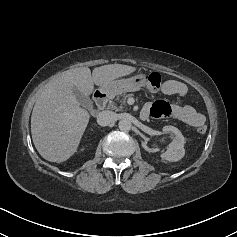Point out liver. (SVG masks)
<instances>
[{
    "label": "liver",
    "mask_w": 237,
    "mask_h": 237,
    "mask_svg": "<svg viewBox=\"0 0 237 237\" xmlns=\"http://www.w3.org/2000/svg\"><path fill=\"white\" fill-rule=\"evenodd\" d=\"M136 71L135 67L109 64L94 68L67 70L43 89L31 115V134L35 148L47 161L61 163L76 151L90 115L73 94L77 88L89 96L94 84L104 86Z\"/></svg>",
    "instance_id": "1"
}]
</instances>
